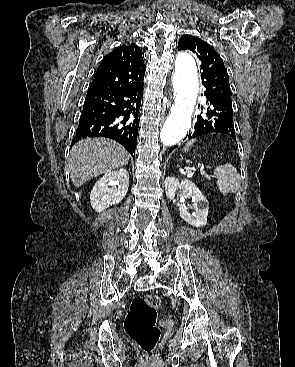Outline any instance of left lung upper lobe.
<instances>
[{
  "mask_svg": "<svg viewBox=\"0 0 295 367\" xmlns=\"http://www.w3.org/2000/svg\"><path fill=\"white\" fill-rule=\"evenodd\" d=\"M191 50L201 61V79L206 91L204 94H213L231 100V89L228 73L219 54L203 40L183 35L178 43V50Z\"/></svg>",
  "mask_w": 295,
  "mask_h": 367,
  "instance_id": "5c2ea615",
  "label": "left lung upper lobe"
}]
</instances>
